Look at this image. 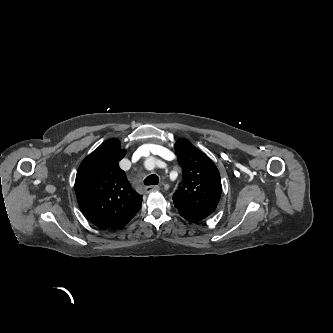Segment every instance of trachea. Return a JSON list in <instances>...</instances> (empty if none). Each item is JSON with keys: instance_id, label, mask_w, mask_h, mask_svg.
I'll use <instances>...</instances> for the list:
<instances>
[{"instance_id": "obj_1", "label": "trachea", "mask_w": 333, "mask_h": 333, "mask_svg": "<svg viewBox=\"0 0 333 333\" xmlns=\"http://www.w3.org/2000/svg\"><path fill=\"white\" fill-rule=\"evenodd\" d=\"M159 183V178L157 175L152 174L144 179L145 185H157Z\"/></svg>"}]
</instances>
